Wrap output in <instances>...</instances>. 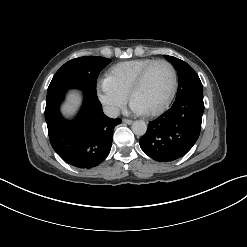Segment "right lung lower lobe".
<instances>
[{
	"instance_id": "right-lung-lower-lobe-1",
	"label": "right lung lower lobe",
	"mask_w": 247,
	"mask_h": 247,
	"mask_svg": "<svg viewBox=\"0 0 247 247\" xmlns=\"http://www.w3.org/2000/svg\"><path fill=\"white\" fill-rule=\"evenodd\" d=\"M64 92L46 99L45 119L51 145L67 163L78 168H92L109 154L112 134L121 119L107 117L97 96L85 95L83 107L74 121L60 115Z\"/></svg>"
}]
</instances>
